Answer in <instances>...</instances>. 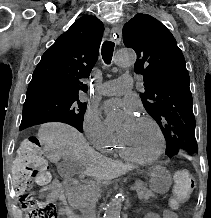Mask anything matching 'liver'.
I'll use <instances>...</instances> for the list:
<instances>
[{"label":"liver","mask_w":211,"mask_h":218,"mask_svg":"<svg viewBox=\"0 0 211 218\" xmlns=\"http://www.w3.org/2000/svg\"><path fill=\"white\" fill-rule=\"evenodd\" d=\"M38 136L54 158L65 156L77 160L78 164L85 166V174L93 176L94 180H100L102 184H108L113 178L123 176L128 170L125 164H117L91 150L82 134L67 124H45L41 126Z\"/></svg>","instance_id":"6515ba94"}]
</instances>
